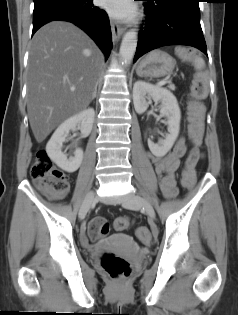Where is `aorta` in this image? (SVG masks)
Wrapping results in <instances>:
<instances>
[{
	"label": "aorta",
	"mask_w": 238,
	"mask_h": 315,
	"mask_svg": "<svg viewBox=\"0 0 238 315\" xmlns=\"http://www.w3.org/2000/svg\"><path fill=\"white\" fill-rule=\"evenodd\" d=\"M137 33L135 30H129L124 34L120 46V57L124 65H129L132 61L137 47Z\"/></svg>",
	"instance_id": "aorta-1"
}]
</instances>
